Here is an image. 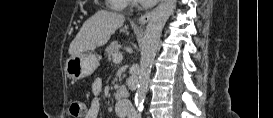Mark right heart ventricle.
Returning <instances> with one entry per match:
<instances>
[{"instance_id": "obj_1", "label": "right heart ventricle", "mask_w": 273, "mask_h": 118, "mask_svg": "<svg viewBox=\"0 0 273 118\" xmlns=\"http://www.w3.org/2000/svg\"><path fill=\"white\" fill-rule=\"evenodd\" d=\"M111 3H112V8L117 9V10L123 8V6H124V2H120V1L113 0Z\"/></svg>"}]
</instances>
